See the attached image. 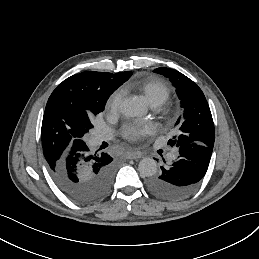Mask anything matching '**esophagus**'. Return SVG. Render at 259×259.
I'll list each match as a JSON object with an SVG mask.
<instances>
[{
	"instance_id": "obj_1",
	"label": "esophagus",
	"mask_w": 259,
	"mask_h": 259,
	"mask_svg": "<svg viewBox=\"0 0 259 259\" xmlns=\"http://www.w3.org/2000/svg\"><path fill=\"white\" fill-rule=\"evenodd\" d=\"M142 153L141 152H135V151H128L125 155L127 159H138L141 158Z\"/></svg>"
}]
</instances>
